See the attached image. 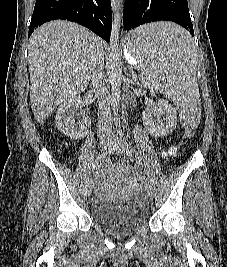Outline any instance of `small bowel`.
<instances>
[{"label": "small bowel", "instance_id": "obj_1", "mask_svg": "<svg viewBox=\"0 0 227 267\" xmlns=\"http://www.w3.org/2000/svg\"><path fill=\"white\" fill-rule=\"evenodd\" d=\"M175 152H176V149L175 148H171L166 152V155L172 156V155L175 154ZM112 191H114V189L106 190V189L98 188V192L100 194H105V193H109V192H112Z\"/></svg>", "mask_w": 227, "mask_h": 267}]
</instances>
